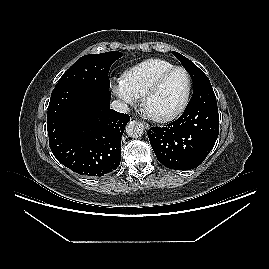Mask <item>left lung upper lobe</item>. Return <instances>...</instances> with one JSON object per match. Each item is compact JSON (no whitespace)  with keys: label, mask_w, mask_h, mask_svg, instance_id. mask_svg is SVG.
I'll list each match as a JSON object with an SVG mask.
<instances>
[{"label":"left lung upper lobe","mask_w":269,"mask_h":269,"mask_svg":"<svg viewBox=\"0 0 269 269\" xmlns=\"http://www.w3.org/2000/svg\"><path fill=\"white\" fill-rule=\"evenodd\" d=\"M172 53L182 63L186 71L191 76L194 85L193 93L206 86L211 85L205 73L200 70L192 61L177 52L173 51Z\"/></svg>","instance_id":"left-lung-upper-lobe-1"}]
</instances>
